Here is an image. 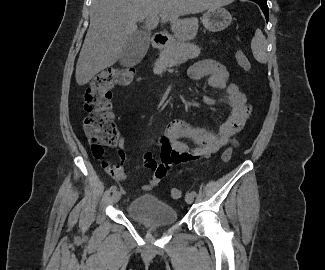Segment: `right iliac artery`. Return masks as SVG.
Returning <instances> with one entry per match:
<instances>
[{
    "label": "right iliac artery",
    "instance_id": "obj_1",
    "mask_svg": "<svg viewBox=\"0 0 325 270\" xmlns=\"http://www.w3.org/2000/svg\"><path fill=\"white\" fill-rule=\"evenodd\" d=\"M117 190V186L113 185L110 187L109 192H115Z\"/></svg>",
    "mask_w": 325,
    "mask_h": 270
}]
</instances>
